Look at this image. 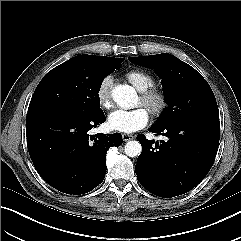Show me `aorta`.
Masks as SVG:
<instances>
[{"label": "aorta", "instance_id": "762f6f07", "mask_svg": "<svg viewBox=\"0 0 241 241\" xmlns=\"http://www.w3.org/2000/svg\"><path fill=\"white\" fill-rule=\"evenodd\" d=\"M136 91L133 87L123 84L117 85L112 90V98L116 104L123 109H130L136 99ZM125 154L129 157H137L142 151L141 144L134 140L128 141L125 145Z\"/></svg>", "mask_w": 241, "mask_h": 241}]
</instances>
